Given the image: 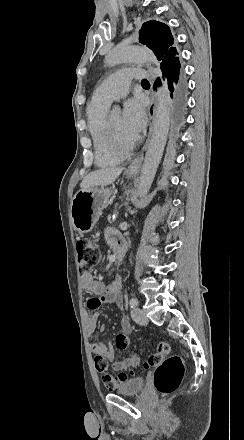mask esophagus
<instances>
[{
  "instance_id": "1",
  "label": "esophagus",
  "mask_w": 244,
  "mask_h": 440,
  "mask_svg": "<svg viewBox=\"0 0 244 440\" xmlns=\"http://www.w3.org/2000/svg\"><path fill=\"white\" fill-rule=\"evenodd\" d=\"M156 106H157V101L155 96L153 95L151 97V102L150 105L148 107V115H149V130H148V136L146 139V142L141 150V153L138 155V157L129 165L128 167V172L132 175H137L140 168H141V164L144 158V152L147 149L151 136H152V131H153V126H154V120H155V111H156Z\"/></svg>"
}]
</instances>
